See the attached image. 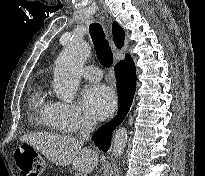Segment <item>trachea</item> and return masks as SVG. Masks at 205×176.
Returning a JSON list of instances; mask_svg holds the SVG:
<instances>
[{"label": "trachea", "mask_w": 205, "mask_h": 176, "mask_svg": "<svg viewBox=\"0 0 205 176\" xmlns=\"http://www.w3.org/2000/svg\"><path fill=\"white\" fill-rule=\"evenodd\" d=\"M89 32L96 49L97 57L100 63L105 67H110L113 62V54L108 41L105 38V33L99 23H91Z\"/></svg>", "instance_id": "1"}]
</instances>
